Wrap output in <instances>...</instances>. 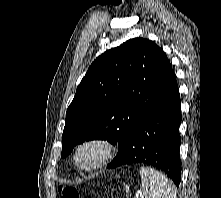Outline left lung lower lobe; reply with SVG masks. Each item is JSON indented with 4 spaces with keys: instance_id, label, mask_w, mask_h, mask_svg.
<instances>
[{
    "instance_id": "0a47b994",
    "label": "left lung lower lobe",
    "mask_w": 221,
    "mask_h": 198,
    "mask_svg": "<svg viewBox=\"0 0 221 198\" xmlns=\"http://www.w3.org/2000/svg\"><path fill=\"white\" fill-rule=\"evenodd\" d=\"M180 96L172 71L156 102L142 117L107 168L146 163L164 171L178 186L181 177Z\"/></svg>"
}]
</instances>
